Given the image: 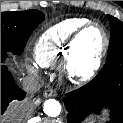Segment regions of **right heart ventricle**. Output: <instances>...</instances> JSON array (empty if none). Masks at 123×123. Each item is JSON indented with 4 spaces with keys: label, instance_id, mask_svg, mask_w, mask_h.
<instances>
[{
    "label": "right heart ventricle",
    "instance_id": "obj_1",
    "mask_svg": "<svg viewBox=\"0 0 123 123\" xmlns=\"http://www.w3.org/2000/svg\"><path fill=\"white\" fill-rule=\"evenodd\" d=\"M86 23L84 18L68 19L43 32L34 46L36 63L42 67L65 63L73 36Z\"/></svg>",
    "mask_w": 123,
    "mask_h": 123
}]
</instances>
